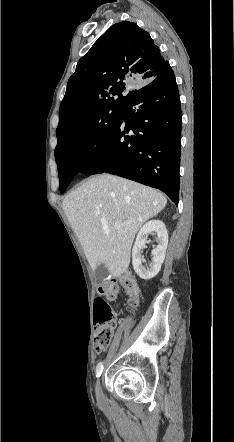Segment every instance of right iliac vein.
Returning a JSON list of instances; mask_svg holds the SVG:
<instances>
[{"label": "right iliac vein", "instance_id": "right-iliac-vein-1", "mask_svg": "<svg viewBox=\"0 0 234 442\" xmlns=\"http://www.w3.org/2000/svg\"><path fill=\"white\" fill-rule=\"evenodd\" d=\"M96 394H97L98 398L102 397V390H101V386H100V382L99 381L97 382V385H96Z\"/></svg>", "mask_w": 234, "mask_h": 442}]
</instances>
